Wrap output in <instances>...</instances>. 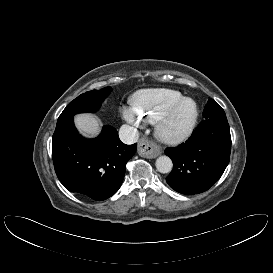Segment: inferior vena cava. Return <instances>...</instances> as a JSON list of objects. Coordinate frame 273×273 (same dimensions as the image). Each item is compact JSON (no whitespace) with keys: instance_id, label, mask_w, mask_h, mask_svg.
Segmentation results:
<instances>
[{"instance_id":"inferior-vena-cava-1","label":"inferior vena cava","mask_w":273,"mask_h":273,"mask_svg":"<svg viewBox=\"0 0 273 273\" xmlns=\"http://www.w3.org/2000/svg\"><path fill=\"white\" fill-rule=\"evenodd\" d=\"M120 140L125 144H133L139 138V132L136 128L129 125H122L119 130Z\"/></svg>"}]
</instances>
